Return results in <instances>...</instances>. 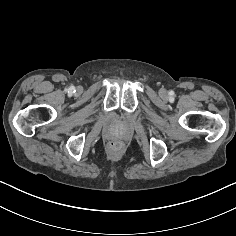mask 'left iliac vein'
I'll use <instances>...</instances> for the list:
<instances>
[{
  "instance_id": "left-iliac-vein-1",
  "label": "left iliac vein",
  "mask_w": 236,
  "mask_h": 236,
  "mask_svg": "<svg viewBox=\"0 0 236 236\" xmlns=\"http://www.w3.org/2000/svg\"><path fill=\"white\" fill-rule=\"evenodd\" d=\"M159 95H160L161 97L165 98V97L167 96V91H166V89L161 88V89L159 90Z\"/></svg>"
}]
</instances>
